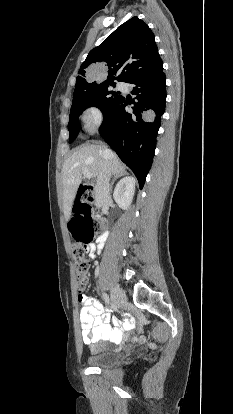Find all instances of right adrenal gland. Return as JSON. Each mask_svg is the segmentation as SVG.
I'll list each match as a JSON object with an SVG mask.
<instances>
[{
    "instance_id": "right-adrenal-gland-1",
    "label": "right adrenal gland",
    "mask_w": 233,
    "mask_h": 414,
    "mask_svg": "<svg viewBox=\"0 0 233 414\" xmlns=\"http://www.w3.org/2000/svg\"><path fill=\"white\" fill-rule=\"evenodd\" d=\"M127 173L124 171V172H121V173H118V174H116L115 176H114V178H113V180H112V182H111V184H110V191H112V188H113V185H114V182L119 178V177H122V176H125Z\"/></svg>"
}]
</instances>
